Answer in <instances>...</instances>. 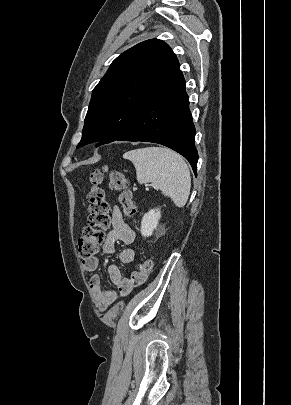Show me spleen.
<instances>
[{
    "label": "spleen",
    "mask_w": 291,
    "mask_h": 405,
    "mask_svg": "<svg viewBox=\"0 0 291 405\" xmlns=\"http://www.w3.org/2000/svg\"><path fill=\"white\" fill-rule=\"evenodd\" d=\"M123 158L134 164L140 184L151 182L177 207L185 206L190 194L191 177L180 155L168 148L146 147L128 151Z\"/></svg>",
    "instance_id": "obj_1"
}]
</instances>
